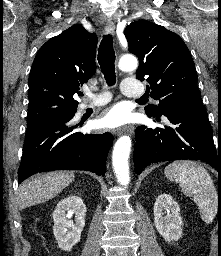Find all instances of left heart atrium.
I'll list each match as a JSON object with an SVG mask.
<instances>
[{
	"label": "left heart atrium",
	"instance_id": "obj_1",
	"mask_svg": "<svg viewBox=\"0 0 221 256\" xmlns=\"http://www.w3.org/2000/svg\"><path fill=\"white\" fill-rule=\"evenodd\" d=\"M127 113L120 107H115L109 110L104 117H102L98 125L100 127L115 128L127 122Z\"/></svg>",
	"mask_w": 221,
	"mask_h": 256
}]
</instances>
